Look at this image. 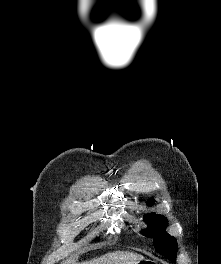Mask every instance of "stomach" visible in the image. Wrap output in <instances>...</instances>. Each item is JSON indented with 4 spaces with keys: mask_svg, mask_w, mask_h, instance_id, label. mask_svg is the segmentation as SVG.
<instances>
[{
    "mask_svg": "<svg viewBox=\"0 0 221 264\" xmlns=\"http://www.w3.org/2000/svg\"><path fill=\"white\" fill-rule=\"evenodd\" d=\"M135 264H157V263L150 259H142L137 261Z\"/></svg>",
    "mask_w": 221,
    "mask_h": 264,
    "instance_id": "0dacf381",
    "label": "stomach"
}]
</instances>
